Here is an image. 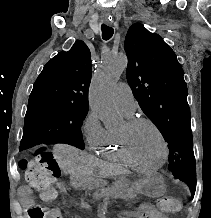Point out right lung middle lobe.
Wrapping results in <instances>:
<instances>
[{"mask_svg":"<svg viewBox=\"0 0 211 218\" xmlns=\"http://www.w3.org/2000/svg\"><path fill=\"white\" fill-rule=\"evenodd\" d=\"M88 106L35 103L28 104L23 138L36 143H68L84 148L81 125Z\"/></svg>","mask_w":211,"mask_h":218,"instance_id":"dd1d6c3e","label":"right lung middle lobe"}]
</instances>
